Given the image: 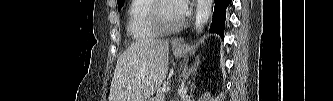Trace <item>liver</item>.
Here are the masks:
<instances>
[{
    "instance_id": "6515ba94",
    "label": "liver",
    "mask_w": 333,
    "mask_h": 101,
    "mask_svg": "<svg viewBox=\"0 0 333 101\" xmlns=\"http://www.w3.org/2000/svg\"><path fill=\"white\" fill-rule=\"evenodd\" d=\"M168 55L167 40L143 39L131 44L117 61L109 101H147L166 77Z\"/></svg>"
}]
</instances>
